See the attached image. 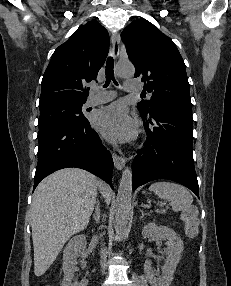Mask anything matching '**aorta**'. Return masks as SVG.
Masks as SVG:
<instances>
[{
    "label": "aorta",
    "mask_w": 231,
    "mask_h": 286,
    "mask_svg": "<svg viewBox=\"0 0 231 286\" xmlns=\"http://www.w3.org/2000/svg\"><path fill=\"white\" fill-rule=\"evenodd\" d=\"M134 73L135 68L131 63H119L116 66V74L119 77H131ZM131 201L132 171L126 167L122 173L116 198L114 227L118 236L123 235L126 231L131 211Z\"/></svg>",
    "instance_id": "aorta-1"
}]
</instances>
